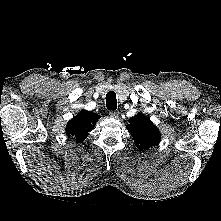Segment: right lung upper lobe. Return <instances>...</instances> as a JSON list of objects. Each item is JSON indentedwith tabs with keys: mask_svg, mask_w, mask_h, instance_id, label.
Returning <instances> with one entry per match:
<instances>
[{
	"mask_svg": "<svg viewBox=\"0 0 221 221\" xmlns=\"http://www.w3.org/2000/svg\"><path fill=\"white\" fill-rule=\"evenodd\" d=\"M99 116L97 114L82 110L75 116L66 127V133L70 137H74L77 142H82L87 136L91 128L96 124Z\"/></svg>",
	"mask_w": 221,
	"mask_h": 221,
	"instance_id": "obj_1",
	"label": "right lung upper lobe"
}]
</instances>
